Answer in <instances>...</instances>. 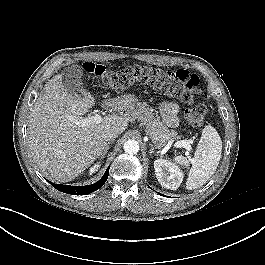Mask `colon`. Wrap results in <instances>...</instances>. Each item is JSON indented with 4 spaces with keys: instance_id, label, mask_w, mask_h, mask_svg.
Segmentation results:
<instances>
[{
    "instance_id": "1",
    "label": "colon",
    "mask_w": 265,
    "mask_h": 265,
    "mask_svg": "<svg viewBox=\"0 0 265 265\" xmlns=\"http://www.w3.org/2000/svg\"><path fill=\"white\" fill-rule=\"evenodd\" d=\"M84 70L114 91H123L134 84H144L186 103H192L199 93V78L184 69L165 70L135 64L110 70L100 64L85 63ZM206 114L207 107L198 103L187 109L186 119L192 126L200 127L204 124Z\"/></svg>"
}]
</instances>
